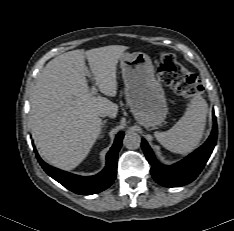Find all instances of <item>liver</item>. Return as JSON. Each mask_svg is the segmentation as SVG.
<instances>
[{
	"label": "liver",
	"instance_id": "obj_1",
	"mask_svg": "<svg viewBox=\"0 0 234 231\" xmlns=\"http://www.w3.org/2000/svg\"><path fill=\"white\" fill-rule=\"evenodd\" d=\"M128 47L110 45L63 53L47 63L31 98L29 122L34 143L45 161L63 169L77 167L89 154L101 128L100 112L116 117L118 105L89 92L88 60L101 93L117 94V64Z\"/></svg>",
	"mask_w": 234,
	"mask_h": 231
}]
</instances>
